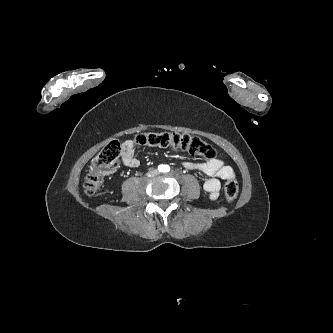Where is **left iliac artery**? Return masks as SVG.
I'll list each match as a JSON object with an SVG mask.
<instances>
[{
    "mask_svg": "<svg viewBox=\"0 0 333 333\" xmlns=\"http://www.w3.org/2000/svg\"><path fill=\"white\" fill-rule=\"evenodd\" d=\"M169 170H170V167L166 165L164 168V172H169Z\"/></svg>",
    "mask_w": 333,
    "mask_h": 333,
    "instance_id": "1",
    "label": "left iliac artery"
}]
</instances>
